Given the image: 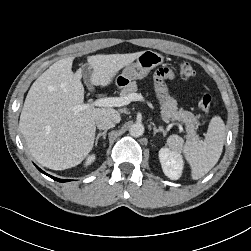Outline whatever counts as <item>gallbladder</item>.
<instances>
[{"label": "gallbladder", "instance_id": "1", "mask_svg": "<svg viewBox=\"0 0 251 251\" xmlns=\"http://www.w3.org/2000/svg\"><path fill=\"white\" fill-rule=\"evenodd\" d=\"M88 87L90 90L93 89V86L91 84V81H90V78H91V74H92V71H91V67L88 65V64H85L82 66V68L80 69Z\"/></svg>", "mask_w": 251, "mask_h": 251}]
</instances>
